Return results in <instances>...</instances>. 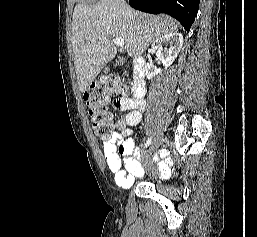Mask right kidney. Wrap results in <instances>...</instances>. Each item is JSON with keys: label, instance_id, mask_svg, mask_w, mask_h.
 <instances>
[{"label": "right kidney", "instance_id": "obj_1", "mask_svg": "<svg viewBox=\"0 0 257 237\" xmlns=\"http://www.w3.org/2000/svg\"><path fill=\"white\" fill-rule=\"evenodd\" d=\"M163 45H166L165 47ZM170 46L167 48V46ZM183 46V36L178 32L168 33L156 39L152 44V51L156 53L158 59L163 63L165 68L177 58ZM146 77L151 80L156 75L162 72L161 69H156L151 63H147L145 67Z\"/></svg>", "mask_w": 257, "mask_h": 237}]
</instances>
